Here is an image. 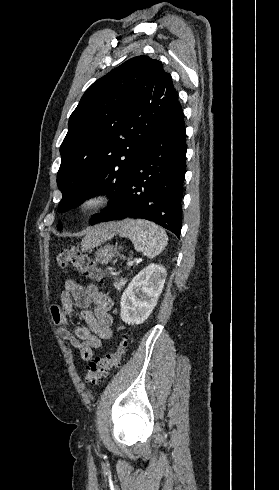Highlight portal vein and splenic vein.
Listing matches in <instances>:
<instances>
[{
	"label": "portal vein and splenic vein",
	"instance_id": "1",
	"mask_svg": "<svg viewBox=\"0 0 279 490\" xmlns=\"http://www.w3.org/2000/svg\"><path fill=\"white\" fill-rule=\"evenodd\" d=\"M127 266H133V262H130V260H128Z\"/></svg>",
	"mask_w": 279,
	"mask_h": 490
}]
</instances>
